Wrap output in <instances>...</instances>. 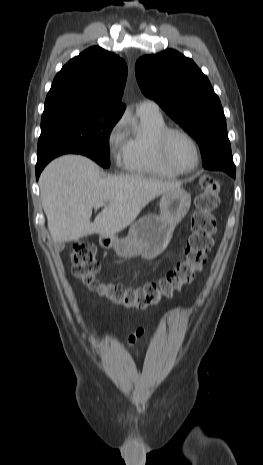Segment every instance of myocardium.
I'll use <instances>...</instances> for the list:
<instances>
[{
  "label": "myocardium",
  "instance_id": "myocardium-1",
  "mask_svg": "<svg viewBox=\"0 0 263 465\" xmlns=\"http://www.w3.org/2000/svg\"><path fill=\"white\" fill-rule=\"evenodd\" d=\"M182 135L186 137L194 146L195 149V154H196V160L195 164L190 168V169H182L178 166H176L170 159L169 157V143L170 139L173 135ZM157 148H158V154L161 162L166 166L169 170L177 173V174H189L194 172L197 167L200 164L201 160V150L198 141L195 139V137L190 134L188 131L182 128L178 127H167L165 128L158 136L157 138Z\"/></svg>",
  "mask_w": 263,
  "mask_h": 465
}]
</instances>
